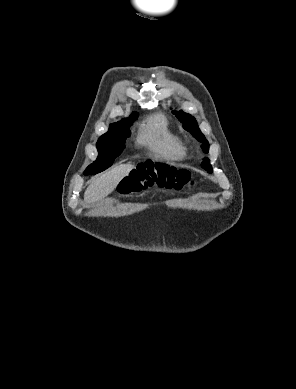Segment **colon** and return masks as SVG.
I'll use <instances>...</instances> for the list:
<instances>
[{
  "mask_svg": "<svg viewBox=\"0 0 296 389\" xmlns=\"http://www.w3.org/2000/svg\"><path fill=\"white\" fill-rule=\"evenodd\" d=\"M193 179L186 170L151 161L142 162L120 184L121 196H132L153 186L180 190L192 185Z\"/></svg>",
  "mask_w": 296,
  "mask_h": 389,
  "instance_id": "1",
  "label": "colon"
}]
</instances>
